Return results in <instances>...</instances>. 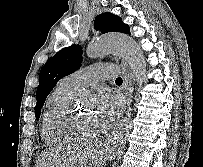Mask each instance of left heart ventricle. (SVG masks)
I'll list each match as a JSON object with an SVG mask.
<instances>
[{"mask_svg": "<svg viewBox=\"0 0 203 167\" xmlns=\"http://www.w3.org/2000/svg\"><path fill=\"white\" fill-rule=\"evenodd\" d=\"M74 126L81 133H91L99 130L96 116L89 108H76Z\"/></svg>", "mask_w": 203, "mask_h": 167, "instance_id": "b2bd125f", "label": "left heart ventricle"}]
</instances>
